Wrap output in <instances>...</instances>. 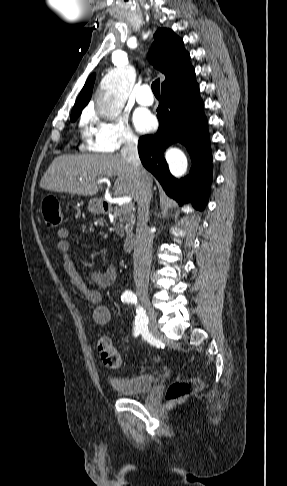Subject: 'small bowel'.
Masks as SVG:
<instances>
[{
    "label": "small bowel",
    "instance_id": "obj_1",
    "mask_svg": "<svg viewBox=\"0 0 287 486\" xmlns=\"http://www.w3.org/2000/svg\"><path fill=\"white\" fill-rule=\"evenodd\" d=\"M70 232L66 228L57 230V250L60 253L63 266L69 275L71 283L86 297V299L96 307L93 311V319L99 326H106L111 321V312L108 307L101 304L102 296L97 290L89 288L77 271L74 262L71 259V244L69 241ZM117 272L114 266H109L104 272H91L90 280L101 288L109 287L114 283Z\"/></svg>",
    "mask_w": 287,
    "mask_h": 486
}]
</instances>
